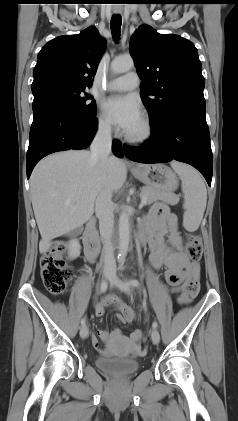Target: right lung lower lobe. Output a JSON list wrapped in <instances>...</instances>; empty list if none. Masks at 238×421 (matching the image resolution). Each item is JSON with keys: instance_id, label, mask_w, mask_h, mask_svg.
Returning a JSON list of instances; mask_svg holds the SVG:
<instances>
[{"instance_id": "right-lung-lower-lobe-1", "label": "right lung lower lobe", "mask_w": 238, "mask_h": 421, "mask_svg": "<svg viewBox=\"0 0 238 421\" xmlns=\"http://www.w3.org/2000/svg\"><path fill=\"white\" fill-rule=\"evenodd\" d=\"M33 123L26 157L27 178L43 157L69 149L86 148L97 131V119L79 115L64 103L44 98L33 102ZM116 156L122 157L119 141L112 145Z\"/></svg>"}]
</instances>
